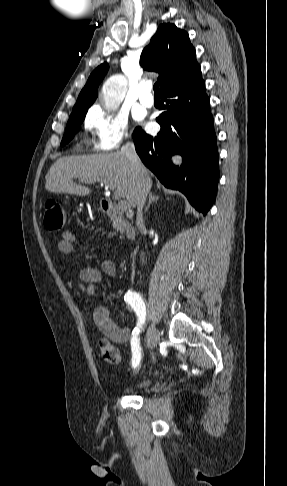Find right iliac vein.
I'll return each mask as SVG.
<instances>
[{
    "label": "right iliac vein",
    "mask_w": 287,
    "mask_h": 486,
    "mask_svg": "<svg viewBox=\"0 0 287 486\" xmlns=\"http://www.w3.org/2000/svg\"><path fill=\"white\" fill-rule=\"evenodd\" d=\"M160 340V334L157 328L152 325L148 330L147 344L148 347L154 348Z\"/></svg>",
    "instance_id": "1"
}]
</instances>
